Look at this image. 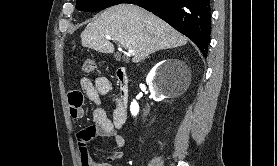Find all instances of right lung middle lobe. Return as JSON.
Listing matches in <instances>:
<instances>
[{
    "label": "right lung middle lobe",
    "instance_id": "obj_1",
    "mask_svg": "<svg viewBox=\"0 0 277 166\" xmlns=\"http://www.w3.org/2000/svg\"><path fill=\"white\" fill-rule=\"evenodd\" d=\"M123 0H77L76 9L81 11H98L122 3Z\"/></svg>",
    "mask_w": 277,
    "mask_h": 166
}]
</instances>
